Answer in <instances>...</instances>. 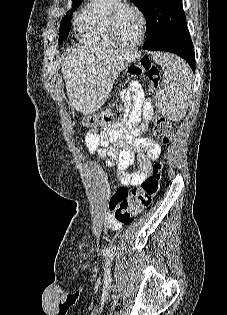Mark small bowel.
Listing matches in <instances>:
<instances>
[{"instance_id":"obj_1","label":"small bowel","mask_w":227,"mask_h":315,"mask_svg":"<svg viewBox=\"0 0 227 315\" xmlns=\"http://www.w3.org/2000/svg\"><path fill=\"white\" fill-rule=\"evenodd\" d=\"M121 95L126 100L132 96L130 119L124 125L110 126L101 132L90 131L86 134L84 142L90 155H98L106 159L109 167H116L121 185L131 187L141 184L150 175L152 162L161 155V147L152 139L140 136V133L147 129L145 123H140L141 113L152 110L141 86L133 81ZM135 161L139 169L132 173L128 172L127 169ZM106 224L112 230H119L123 225L112 213L107 215Z\"/></svg>"}]
</instances>
